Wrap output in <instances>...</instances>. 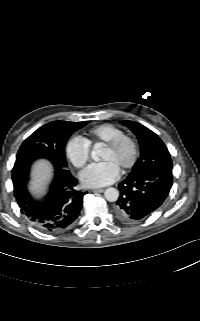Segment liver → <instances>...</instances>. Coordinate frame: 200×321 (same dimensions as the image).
Returning a JSON list of instances; mask_svg holds the SVG:
<instances>
[{
  "mask_svg": "<svg viewBox=\"0 0 200 321\" xmlns=\"http://www.w3.org/2000/svg\"><path fill=\"white\" fill-rule=\"evenodd\" d=\"M52 168L48 161L40 160L34 166L32 170V181L30 188L34 193H41L47 181L51 177Z\"/></svg>",
  "mask_w": 200,
  "mask_h": 321,
  "instance_id": "obj_1",
  "label": "liver"
}]
</instances>
